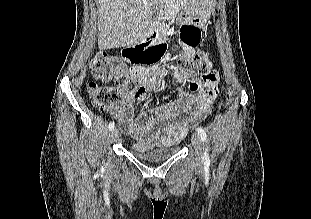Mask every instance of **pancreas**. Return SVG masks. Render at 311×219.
<instances>
[{
  "label": "pancreas",
  "instance_id": "1",
  "mask_svg": "<svg viewBox=\"0 0 311 219\" xmlns=\"http://www.w3.org/2000/svg\"><path fill=\"white\" fill-rule=\"evenodd\" d=\"M181 10L178 0H164V5L158 10V28L162 33H166L170 23L174 20L177 13ZM168 22V24H167Z\"/></svg>",
  "mask_w": 311,
  "mask_h": 219
}]
</instances>
